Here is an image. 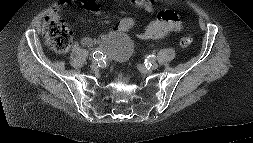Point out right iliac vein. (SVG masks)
<instances>
[{
  "label": "right iliac vein",
  "mask_w": 253,
  "mask_h": 143,
  "mask_svg": "<svg viewBox=\"0 0 253 143\" xmlns=\"http://www.w3.org/2000/svg\"><path fill=\"white\" fill-rule=\"evenodd\" d=\"M96 68H97V64H96V62H93L91 64V69L95 70Z\"/></svg>",
  "instance_id": "obj_1"
}]
</instances>
